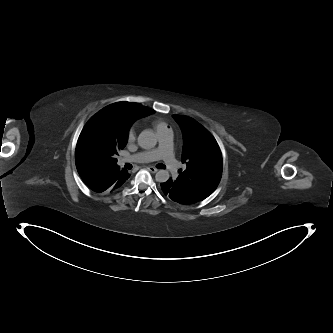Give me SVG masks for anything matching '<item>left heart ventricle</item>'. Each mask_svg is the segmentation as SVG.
<instances>
[{
  "label": "left heart ventricle",
  "mask_w": 333,
  "mask_h": 333,
  "mask_svg": "<svg viewBox=\"0 0 333 333\" xmlns=\"http://www.w3.org/2000/svg\"><path fill=\"white\" fill-rule=\"evenodd\" d=\"M159 148V142H158V146L157 147H154L153 150H156Z\"/></svg>",
  "instance_id": "left-heart-ventricle-1"
}]
</instances>
